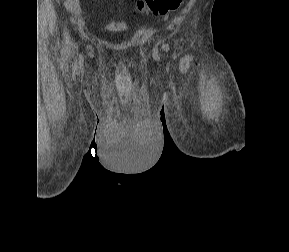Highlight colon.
Here are the masks:
<instances>
[{"label": "colon", "mask_w": 289, "mask_h": 252, "mask_svg": "<svg viewBox=\"0 0 289 252\" xmlns=\"http://www.w3.org/2000/svg\"><path fill=\"white\" fill-rule=\"evenodd\" d=\"M183 0H139L136 10L139 12H150L154 15H165L177 10Z\"/></svg>", "instance_id": "colon-1"}]
</instances>
